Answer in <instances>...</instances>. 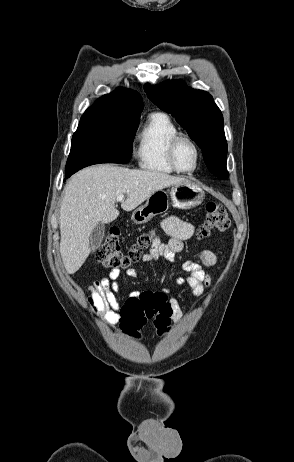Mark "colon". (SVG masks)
Here are the masks:
<instances>
[{"label":"colon","instance_id":"1","mask_svg":"<svg viewBox=\"0 0 294 462\" xmlns=\"http://www.w3.org/2000/svg\"><path fill=\"white\" fill-rule=\"evenodd\" d=\"M230 223L224 206L210 202L206 205L205 219L198 230V236L207 238L214 233L224 232ZM151 238V234L141 235L137 243L127 253H123L119 243V231L117 228H111L96 252V259L106 268H126L140 259ZM171 314L172 308L165 293L143 291L133 294L122 306L120 326L129 334L137 335L148 321H153L158 331L163 332L169 328Z\"/></svg>","mask_w":294,"mask_h":462}]
</instances>
